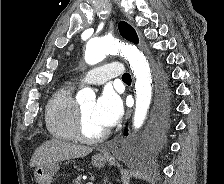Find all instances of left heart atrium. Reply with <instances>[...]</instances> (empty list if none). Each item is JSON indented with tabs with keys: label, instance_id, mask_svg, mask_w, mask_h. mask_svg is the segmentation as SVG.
Segmentation results:
<instances>
[{
	"label": "left heart atrium",
	"instance_id": "left-heart-atrium-1",
	"mask_svg": "<svg viewBox=\"0 0 224 184\" xmlns=\"http://www.w3.org/2000/svg\"><path fill=\"white\" fill-rule=\"evenodd\" d=\"M121 115V103L117 96L111 92H104L94 103L93 116L105 129L113 127Z\"/></svg>",
	"mask_w": 224,
	"mask_h": 184
}]
</instances>
